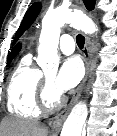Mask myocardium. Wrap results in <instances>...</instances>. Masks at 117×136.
I'll list each match as a JSON object with an SVG mask.
<instances>
[{
  "label": "myocardium",
  "mask_w": 117,
  "mask_h": 136,
  "mask_svg": "<svg viewBox=\"0 0 117 136\" xmlns=\"http://www.w3.org/2000/svg\"><path fill=\"white\" fill-rule=\"evenodd\" d=\"M37 102L43 112H52L62 103V98L53 90L52 84L46 79L40 86Z\"/></svg>",
  "instance_id": "obj_1"
}]
</instances>
